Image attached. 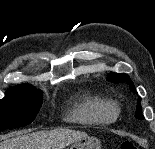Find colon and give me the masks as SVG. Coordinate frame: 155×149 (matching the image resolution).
<instances>
[{"mask_svg":"<svg viewBox=\"0 0 155 149\" xmlns=\"http://www.w3.org/2000/svg\"><path fill=\"white\" fill-rule=\"evenodd\" d=\"M120 149H137L136 145L130 141L122 142Z\"/></svg>","mask_w":155,"mask_h":149,"instance_id":"obj_1","label":"colon"}]
</instances>
